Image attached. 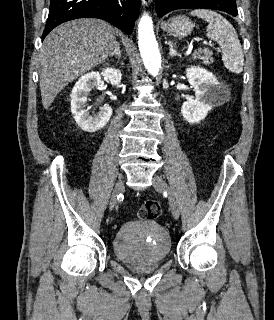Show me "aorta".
<instances>
[{
    "label": "aorta",
    "instance_id": "aorta-1",
    "mask_svg": "<svg viewBox=\"0 0 274 320\" xmlns=\"http://www.w3.org/2000/svg\"><path fill=\"white\" fill-rule=\"evenodd\" d=\"M138 45L147 71L156 76L161 68V55L151 17L144 13L138 23Z\"/></svg>",
    "mask_w": 274,
    "mask_h": 320
}]
</instances>
